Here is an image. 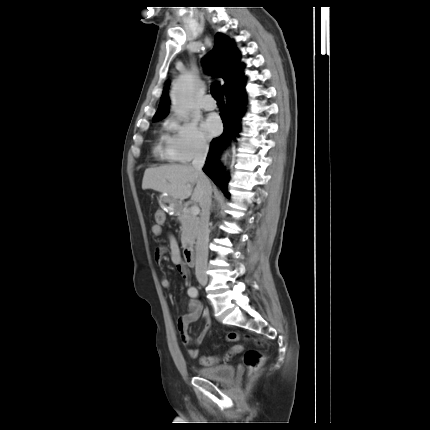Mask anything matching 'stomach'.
I'll return each mask as SVG.
<instances>
[{"label":"stomach","mask_w":430,"mask_h":430,"mask_svg":"<svg viewBox=\"0 0 430 430\" xmlns=\"http://www.w3.org/2000/svg\"><path fill=\"white\" fill-rule=\"evenodd\" d=\"M159 202L161 207L168 212L178 210V204L176 200L168 195H160Z\"/></svg>","instance_id":"1"}]
</instances>
